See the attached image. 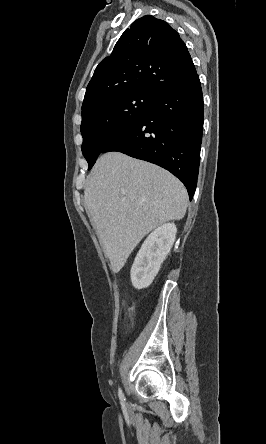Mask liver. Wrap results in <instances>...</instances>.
Listing matches in <instances>:
<instances>
[{"label":"liver","mask_w":266,"mask_h":444,"mask_svg":"<svg viewBox=\"0 0 266 444\" xmlns=\"http://www.w3.org/2000/svg\"><path fill=\"white\" fill-rule=\"evenodd\" d=\"M85 208L114 273L151 230L180 220L187 209L183 184L154 164L120 152L97 160L84 191Z\"/></svg>","instance_id":"6515ba94"}]
</instances>
